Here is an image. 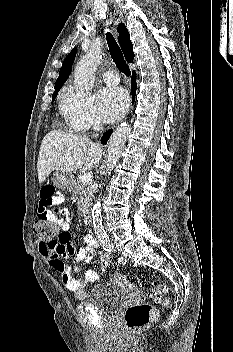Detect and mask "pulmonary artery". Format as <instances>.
<instances>
[{
	"label": "pulmonary artery",
	"instance_id": "e3ab8cb5",
	"mask_svg": "<svg viewBox=\"0 0 233 352\" xmlns=\"http://www.w3.org/2000/svg\"><path fill=\"white\" fill-rule=\"evenodd\" d=\"M102 79L109 85H116L119 82L118 75L114 71L103 72Z\"/></svg>",
	"mask_w": 233,
	"mask_h": 352
}]
</instances>
